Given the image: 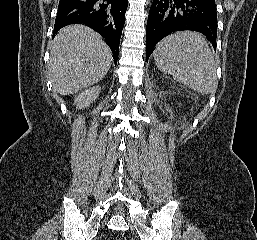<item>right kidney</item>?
Listing matches in <instances>:
<instances>
[{"instance_id":"obj_1","label":"right kidney","mask_w":257,"mask_h":240,"mask_svg":"<svg viewBox=\"0 0 257 240\" xmlns=\"http://www.w3.org/2000/svg\"><path fill=\"white\" fill-rule=\"evenodd\" d=\"M100 91H101L100 86L89 88V89L79 93L75 97L74 104L79 109L89 107V105L97 99V97L99 96Z\"/></svg>"}]
</instances>
